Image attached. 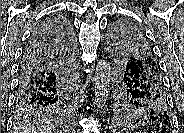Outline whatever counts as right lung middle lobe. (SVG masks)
Returning <instances> with one entry per match:
<instances>
[{"instance_id": "right-lung-middle-lobe-1", "label": "right lung middle lobe", "mask_w": 184, "mask_h": 133, "mask_svg": "<svg viewBox=\"0 0 184 133\" xmlns=\"http://www.w3.org/2000/svg\"><path fill=\"white\" fill-rule=\"evenodd\" d=\"M61 18L64 21V25H66L70 30L71 36L74 37L70 22L63 17ZM71 86L72 85L68 80L65 86V90L59 93V95L52 97L50 100L45 101L44 103L35 105L16 104L17 115L20 117H26L31 115L52 114L66 110L71 102Z\"/></svg>"}]
</instances>
